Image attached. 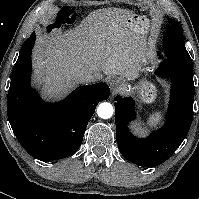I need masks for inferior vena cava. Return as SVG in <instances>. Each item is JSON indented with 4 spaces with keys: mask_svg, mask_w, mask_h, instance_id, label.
Returning a JSON list of instances; mask_svg holds the SVG:
<instances>
[{
    "mask_svg": "<svg viewBox=\"0 0 199 199\" xmlns=\"http://www.w3.org/2000/svg\"><path fill=\"white\" fill-rule=\"evenodd\" d=\"M98 78V76L90 73V72H84L80 75V81L82 83H91L96 81Z\"/></svg>",
    "mask_w": 199,
    "mask_h": 199,
    "instance_id": "obj_1",
    "label": "inferior vena cava"
}]
</instances>
